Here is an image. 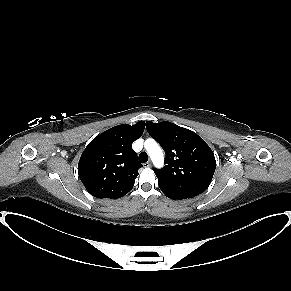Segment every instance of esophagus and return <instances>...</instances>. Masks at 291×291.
I'll return each mask as SVG.
<instances>
[{
	"label": "esophagus",
	"instance_id": "obj_1",
	"mask_svg": "<svg viewBox=\"0 0 291 291\" xmlns=\"http://www.w3.org/2000/svg\"><path fill=\"white\" fill-rule=\"evenodd\" d=\"M143 165H144V167H147V168H149V167H151V162H150V161H148V162L144 163Z\"/></svg>",
	"mask_w": 291,
	"mask_h": 291
}]
</instances>
